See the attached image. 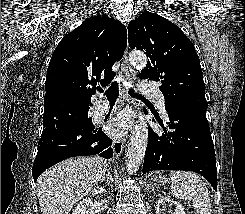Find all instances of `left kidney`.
I'll list each match as a JSON object with an SVG mask.
<instances>
[{
	"label": "left kidney",
	"mask_w": 245,
	"mask_h": 214,
	"mask_svg": "<svg viewBox=\"0 0 245 214\" xmlns=\"http://www.w3.org/2000/svg\"><path fill=\"white\" fill-rule=\"evenodd\" d=\"M166 205L175 207L171 214H186L184 207L177 201L171 200L169 197H161L157 202L156 214H166ZM170 214V213H169Z\"/></svg>",
	"instance_id": "1"
}]
</instances>
